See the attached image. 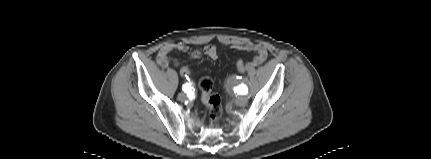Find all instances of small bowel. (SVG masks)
Listing matches in <instances>:
<instances>
[{
  "label": "small bowel",
  "instance_id": "1",
  "mask_svg": "<svg viewBox=\"0 0 431 159\" xmlns=\"http://www.w3.org/2000/svg\"><path fill=\"white\" fill-rule=\"evenodd\" d=\"M232 48L236 50L255 52L254 58L251 61L245 63L244 67L246 68V71L259 66L267 59V54H268L267 50L264 46L260 44L244 43V44L233 45ZM188 49H189L188 45L183 42L166 44L159 50L157 54V63L164 68L168 67L170 63H173L175 66H177L178 61L176 59L171 58L170 53L173 51L187 52ZM204 54L212 59H216L218 56L217 47L214 45L206 46L204 48ZM201 56H202V52L200 51H193L191 53L192 59H198Z\"/></svg>",
  "mask_w": 431,
  "mask_h": 159
}]
</instances>
